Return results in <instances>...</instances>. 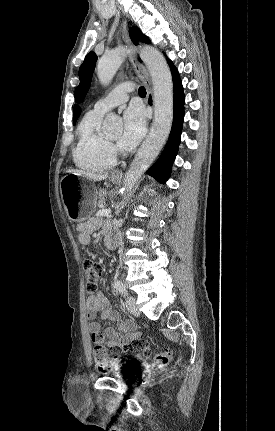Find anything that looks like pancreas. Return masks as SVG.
<instances>
[{"label":"pancreas","instance_id":"1","mask_svg":"<svg viewBox=\"0 0 275 431\" xmlns=\"http://www.w3.org/2000/svg\"><path fill=\"white\" fill-rule=\"evenodd\" d=\"M107 192L106 190H100L98 193V204L99 205H103L105 204V196H106Z\"/></svg>","mask_w":275,"mask_h":431}]
</instances>
